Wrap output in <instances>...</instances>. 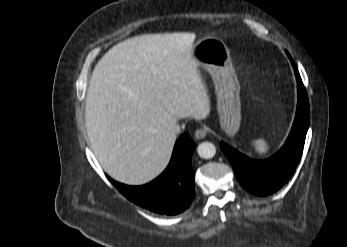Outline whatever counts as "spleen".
<instances>
[{"label":"spleen","mask_w":347,"mask_h":247,"mask_svg":"<svg viewBox=\"0 0 347 247\" xmlns=\"http://www.w3.org/2000/svg\"><path fill=\"white\" fill-rule=\"evenodd\" d=\"M253 146L260 155H266L270 151V143L267 139L261 138L255 140L253 143Z\"/></svg>","instance_id":"obj_1"}]
</instances>
